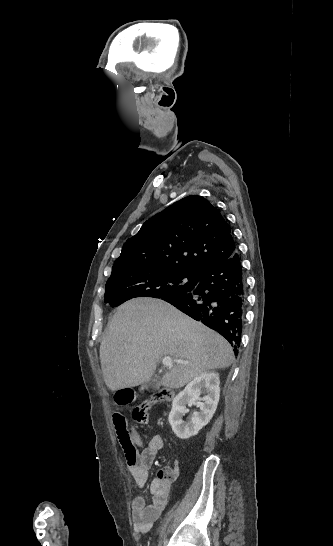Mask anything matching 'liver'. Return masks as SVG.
I'll list each match as a JSON object with an SVG mask.
<instances>
[{"mask_svg":"<svg viewBox=\"0 0 333 546\" xmlns=\"http://www.w3.org/2000/svg\"><path fill=\"white\" fill-rule=\"evenodd\" d=\"M165 356L187 362L173 363L165 374L162 384L169 388L183 387L234 360L223 337L162 300L137 298L119 306L100 345L107 387L117 391L147 383Z\"/></svg>","mask_w":333,"mask_h":546,"instance_id":"6515ba94","label":"liver"}]
</instances>
